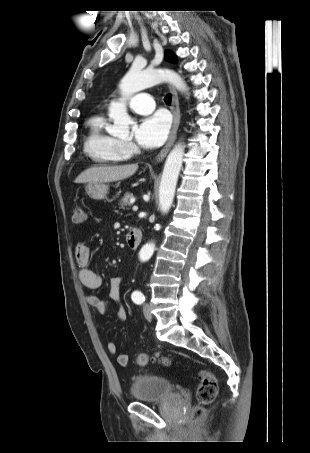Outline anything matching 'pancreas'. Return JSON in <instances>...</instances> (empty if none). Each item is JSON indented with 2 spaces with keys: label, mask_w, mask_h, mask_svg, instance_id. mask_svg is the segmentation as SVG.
I'll use <instances>...</instances> for the list:
<instances>
[{
  "label": "pancreas",
  "mask_w": 310,
  "mask_h": 453,
  "mask_svg": "<svg viewBox=\"0 0 310 453\" xmlns=\"http://www.w3.org/2000/svg\"><path fill=\"white\" fill-rule=\"evenodd\" d=\"M133 197L132 193L127 192L124 197L120 200L119 206L121 209H125L129 206H131V203L129 202L130 198Z\"/></svg>",
  "instance_id": "cf45deb5"
}]
</instances>
